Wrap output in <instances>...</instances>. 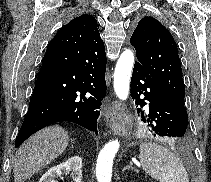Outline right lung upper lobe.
<instances>
[{"mask_svg":"<svg viewBox=\"0 0 211 182\" xmlns=\"http://www.w3.org/2000/svg\"><path fill=\"white\" fill-rule=\"evenodd\" d=\"M99 37L100 34L97 29L96 19L85 14L73 19L71 22L61 28L53 40L57 42L67 40L82 42L87 40H95Z\"/></svg>","mask_w":211,"mask_h":182,"instance_id":"obj_1","label":"right lung upper lobe"}]
</instances>
